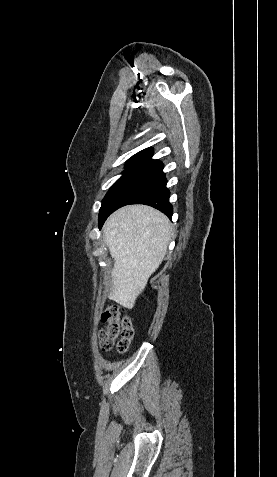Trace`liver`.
Here are the masks:
<instances>
[{
	"mask_svg": "<svg viewBox=\"0 0 277 477\" xmlns=\"http://www.w3.org/2000/svg\"><path fill=\"white\" fill-rule=\"evenodd\" d=\"M103 232L105 244L114 259L108 297L132 309L149 277L166 255L172 225L154 208L129 205L110 215Z\"/></svg>",
	"mask_w": 277,
	"mask_h": 477,
	"instance_id": "obj_1",
	"label": "liver"
}]
</instances>
